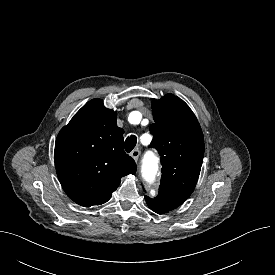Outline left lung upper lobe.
<instances>
[{
  "mask_svg": "<svg viewBox=\"0 0 275 275\" xmlns=\"http://www.w3.org/2000/svg\"><path fill=\"white\" fill-rule=\"evenodd\" d=\"M155 123L151 147L158 150L162 177L157 197L186 200L193 192L202 166L204 138L189 106L179 97L167 94L153 99Z\"/></svg>",
  "mask_w": 275,
  "mask_h": 275,
  "instance_id": "left-lung-upper-lobe-1",
  "label": "left lung upper lobe"
}]
</instances>
